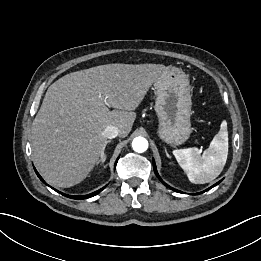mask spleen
<instances>
[{"mask_svg": "<svg viewBox=\"0 0 261 261\" xmlns=\"http://www.w3.org/2000/svg\"><path fill=\"white\" fill-rule=\"evenodd\" d=\"M173 155L192 183L205 184L213 181L222 172L228 156L226 121L221 123L219 132L202 155L195 147L174 150Z\"/></svg>", "mask_w": 261, "mask_h": 261, "instance_id": "spleen-1", "label": "spleen"}]
</instances>
